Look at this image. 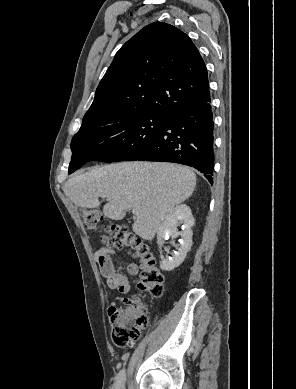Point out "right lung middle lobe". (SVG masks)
I'll use <instances>...</instances> for the list:
<instances>
[{"instance_id":"obj_1","label":"right lung middle lobe","mask_w":296,"mask_h":389,"mask_svg":"<svg viewBox=\"0 0 296 389\" xmlns=\"http://www.w3.org/2000/svg\"><path fill=\"white\" fill-rule=\"evenodd\" d=\"M166 115L114 109L83 119L71 142L69 174L88 161H134L163 128Z\"/></svg>"}]
</instances>
